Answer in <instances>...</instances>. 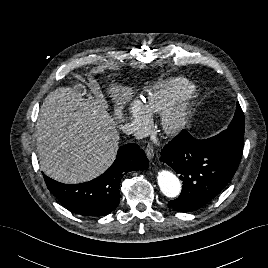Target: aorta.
<instances>
[{
    "label": "aorta",
    "mask_w": 268,
    "mask_h": 268,
    "mask_svg": "<svg viewBox=\"0 0 268 268\" xmlns=\"http://www.w3.org/2000/svg\"><path fill=\"white\" fill-rule=\"evenodd\" d=\"M158 185L162 193L169 197H177L181 192V183L179 179L168 170H161L157 176Z\"/></svg>",
    "instance_id": "1"
}]
</instances>
